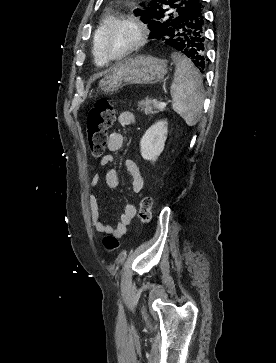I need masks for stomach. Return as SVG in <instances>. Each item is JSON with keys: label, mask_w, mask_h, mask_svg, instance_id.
I'll return each instance as SVG.
<instances>
[{"label": "stomach", "mask_w": 276, "mask_h": 363, "mask_svg": "<svg viewBox=\"0 0 276 363\" xmlns=\"http://www.w3.org/2000/svg\"><path fill=\"white\" fill-rule=\"evenodd\" d=\"M167 62L152 56H136L119 63L99 82L104 94H112L130 84L150 85L167 74Z\"/></svg>", "instance_id": "obj_1"}]
</instances>
